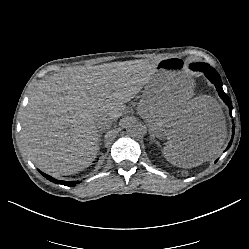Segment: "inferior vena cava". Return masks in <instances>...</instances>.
<instances>
[{
    "instance_id": "602c4592",
    "label": "inferior vena cava",
    "mask_w": 249,
    "mask_h": 249,
    "mask_svg": "<svg viewBox=\"0 0 249 249\" xmlns=\"http://www.w3.org/2000/svg\"><path fill=\"white\" fill-rule=\"evenodd\" d=\"M112 119L107 115H101L96 119V126L98 130L106 131L109 130L112 126Z\"/></svg>"
}]
</instances>
